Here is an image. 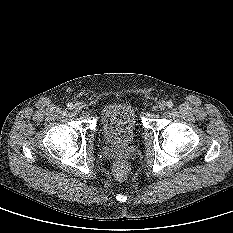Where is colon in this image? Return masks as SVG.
Listing matches in <instances>:
<instances>
[{"mask_svg":"<svg viewBox=\"0 0 233 233\" xmlns=\"http://www.w3.org/2000/svg\"><path fill=\"white\" fill-rule=\"evenodd\" d=\"M114 172L116 174V176L120 179L126 177L127 173H128V164L126 161H118L116 162L115 166H114Z\"/></svg>","mask_w":233,"mask_h":233,"instance_id":"5ec220e1","label":"colon"}]
</instances>
